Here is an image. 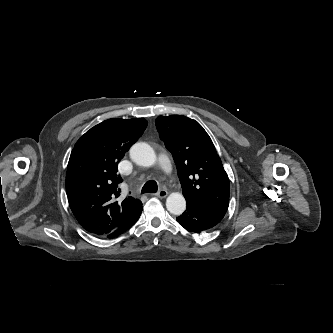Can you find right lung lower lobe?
<instances>
[{
	"label": "right lung lower lobe",
	"mask_w": 333,
	"mask_h": 333,
	"mask_svg": "<svg viewBox=\"0 0 333 333\" xmlns=\"http://www.w3.org/2000/svg\"><path fill=\"white\" fill-rule=\"evenodd\" d=\"M141 212H142V209L134 217H132L127 223H125L121 227L117 228L116 230H114L113 232L108 234L107 237L112 238V237L118 236V235L122 234L123 232H125L126 230H128L139 219Z\"/></svg>",
	"instance_id": "obj_1"
}]
</instances>
